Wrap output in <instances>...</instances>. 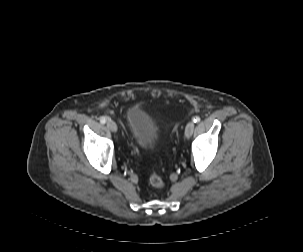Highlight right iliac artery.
<instances>
[{
	"mask_svg": "<svg viewBox=\"0 0 303 252\" xmlns=\"http://www.w3.org/2000/svg\"><path fill=\"white\" fill-rule=\"evenodd\" d=\"M106 121H107V119H106L105 117H102V118L100 119V123H101V124H105Z\"/></svg>",
	"mask_w": 303,
	"mask_h": 252,
	"instance_id": "1",
	"label": "right iliac artery"
}]
</instances>
